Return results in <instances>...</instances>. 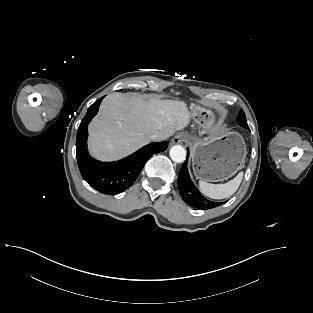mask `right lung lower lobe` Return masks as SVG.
I'll list each match as a JSON object with an SVG mask.
<instances>
[{"label": "right lung lower lobe", "mask_w": 313, "mask_h": 313, "mask_svg": "<svg viewBox=\"0 0 313 313\" xmlns=\"http://www.w3.org/2000/svg\"><path fill=\"white\" fill-rule=\"evenodd\" d=\"M104 97L93 103L80 123L76 139L78 167L84 180L97 191L116 195L128 189L137 179L147 160L168 148L167 142L151 143L117 162H100L87 151L88 124L97 114Z\"/></svg>", "instance_id": "obj_1"}]
</instances>
